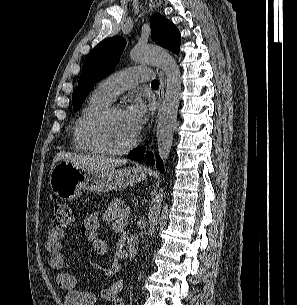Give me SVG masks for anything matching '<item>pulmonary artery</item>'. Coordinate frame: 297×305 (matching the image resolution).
<instances>
[{"mask_svg": "<svg viewBox=\"0 0 297 305\" xmlns=\"http://www.w3.org/2000/svg\"><path fill=\"white\" fill-rule=\"evenodd\" d=\"M152 72L142 68H127L116 72L102 80L97 89L110 101H114L120 93L137 86L139 83L150 81Z\"/></svg>", "mask_w": 297, "mask_h": 305, "instance_id": "1", "label": "pulmonary artery"}]
</instances>
